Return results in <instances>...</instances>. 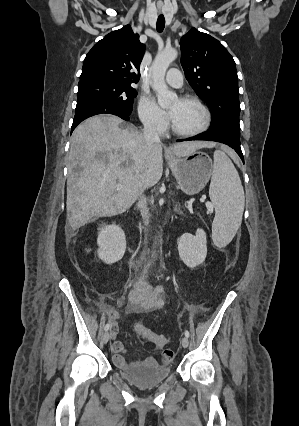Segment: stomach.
<instances>
[{"instance_id": "obj_1", "label": "stomach", "mask_w": 299, "mask_h": 426, "mask_svg": "<svg viewBox=\"0 0 299 426\" xmlns=\"http://www.w3.org/2000/svg\"><path fill=\"white\" fill-rule=\"evenodd\" d=\"M167 159L179 187L188 195L199 193L212 176V160L204 152L195 151L185 157L168 154Z\"/></svg>"}]
</instances>
